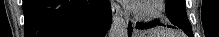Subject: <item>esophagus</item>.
<instances>
[{"label":"esophagus","mask_w":219,"mask_h":37,"mask_svg":"<svg viewBox=\"0 0 219 37\" xmlns=\"http://www.w3.org/2000/svg\"><path fill=\"white\" fill-rule=\"evenodd\" d=\"M111 9H112L113 19H115L116 17H118L119 15L122 14V10H121L120 6L118 4H116L115 2L111 3Z\"/></svg>","instance_id":"esophagus-1"}]
</instances>
